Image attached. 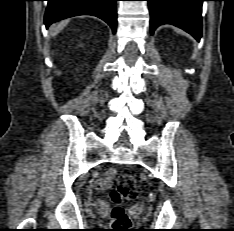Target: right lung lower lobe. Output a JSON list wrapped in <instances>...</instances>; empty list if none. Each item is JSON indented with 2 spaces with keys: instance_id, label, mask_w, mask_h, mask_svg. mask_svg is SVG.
<instances>
[{
  "instance_id": "right-lung-lower-lobe-1",
  "label": "right lung lower lobe",
  "mask_w": 234,
  "mask_h": 231,
  "mask_svg": "<svg viewBox=\"0 0 234 231\" xmlns=\"http://www.w3.org/2000/svg\"><path fill=\"white\" fill-rule=\"evenodd\" d=\"M45 25L77 15H93L103 19L116 32L117 0H47Z\"/></svg>"
}]
</instances>
